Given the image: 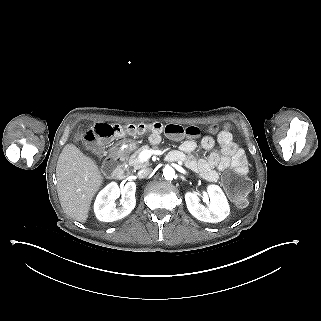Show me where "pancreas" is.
<instances>
[{"mask_svg":"<svg viewBox=\"0 0 321 321\" xmlns=\"http://www.w3.org/2000/svg\"><path fill=\"white\" fill-rule=\"evenodd\" d=\"M153 149L158 150L159 147H154ZM144 150H150V147L148 145H143L129 156L128 164L130 167L137 170L149 166V162H140L138 159V155Z\"/></svg>","mask_w":321,"mask_h":321,"instance_id":"1","label":"pancreas"}]
</instances>
